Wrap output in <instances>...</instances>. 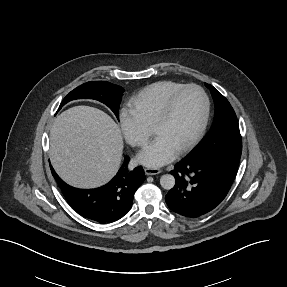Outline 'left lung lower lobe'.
<instances>
[{"label": "left lung lower lobe", "instance_id": "obj_1", "mask_svg": "<svg viewBox=\"0 0 287 287\" xmlns=\"http://www.w3.org/2000/svg\"><path fill=\"white\" fill-rule=\"evenodd\" d=\"M240 156L182 159L171 171L176 183L165 196L168 207L191 218L214 209L226 197L233 183Z\"/></svg>", "mask_w": 287, "mask_h": 287}]
</instances>
